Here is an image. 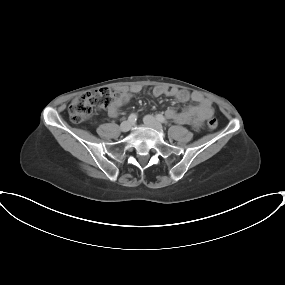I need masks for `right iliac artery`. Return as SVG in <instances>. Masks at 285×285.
<instances>
[{
  "label": "right iliac artery",
  "instance_id": "right-iliac-artery-1",
  "mask_svg": "<svg viewBox=\"0 0 285 285\" xmlns=\"http://www.w3.org/2000/svg\"><path fill=\"white\" fill-rule=\"evenodd\" d=\"M128 120L133 123L137 120V115L136 114H131L129 117H128Z\"/></svg>",
  "mask_w": 285,
  "mask_h": 285
}]
</instances>
